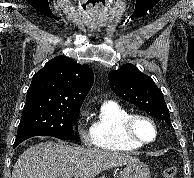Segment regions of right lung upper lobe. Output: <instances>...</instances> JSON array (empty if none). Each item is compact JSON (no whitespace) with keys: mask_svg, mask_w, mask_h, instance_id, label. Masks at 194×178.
Masks as SVG:
<instances>
[{"mask_svg":"<svg viewBox=\"0 0 194 178\" xmlns=\"http://www.w3.org/2000/svg\"><path fill=\"white\" fill-rule=\"evenodd\" d=\"M93 82L94 74L88 65L57 56L33 76L26 100L47 99L80 108Z\"/></svg>","mask_w":194,"mask_h":178,"instance_id":"cb5924a9","label":"right lung upper lobe"}]
</instances>
